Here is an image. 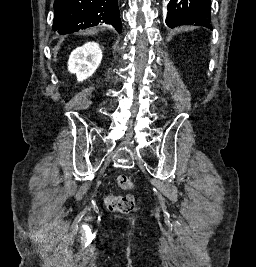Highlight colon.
<instances>
[{
	"instance_id": "5ec220e1",
	"label": "colon",
	"mask_w": 256,
	"mask_h": 267,
	"mask_svg": "<svg viewBox=\"0 0 256 267\" xmlns=\"http://www.w3.org/2000/svg\"><path fill=\"white\" fill-rule=\"evenodd\" d=\"M118 190L132 189L133 183L128 175H119L116 180ZM107 209L115 213H131L135 210L136 204L134 199L129 195L110 193L106 197Z\"/></svg>"
}]
</instances>
